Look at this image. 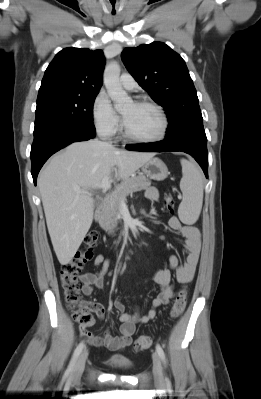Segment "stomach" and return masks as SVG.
Masks as SVG:
<instances>
[{"instance_id": "1", "label": "stomach", "mask_w": 261, "mask_h": 399, "mask_svg": "<svg viewBox=\"0 0 261 399\" xmlns=\"http://www.w3.org/2000/svg\"><path fill=\"white\" fill-rule=\"evenodd\" d=\"M143 173L154 180H164L168 175L169 171L166 164L159 158H151L142 165Z\"/></svg>"}]
</instances>
